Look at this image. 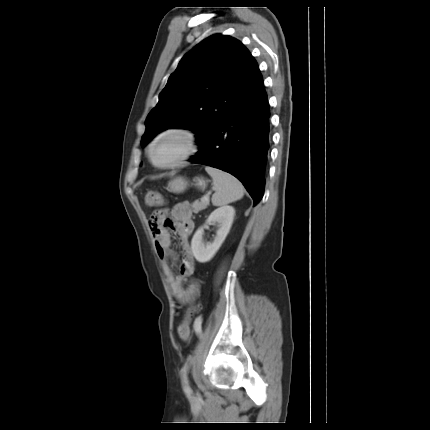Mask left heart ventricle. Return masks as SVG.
<instances>
[{"instance_id": "b2bd125f", "label": "left heart ventricle", "mask_w": 430, "mask_h": 430, "mask_svg": "<svg viewBox=\"0 0 430 430\" xmlns=\"http://www.w3.org/2000/svg\"><path fill=\"white\" fill-rule=\"evenodd\" d=\"M185 146V139L181 135L170 134L156 144L153 155L158 163L166 164L182 154Z\"/></svg>"}]
</instances>
